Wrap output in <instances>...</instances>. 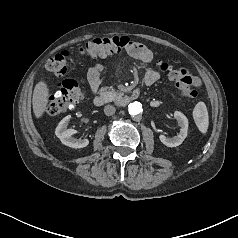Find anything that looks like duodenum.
Masks as SVG:
<instances>
[{
	"mask_svg": "<svg viewBox=\"0 0 238 238\" xmlns=\"http://www.w3.org/2000/svg\"><path fill=\"white\" fill-rule=\"evenodd\" d=\"M137 97H138V93L133 92L131 94H128V95L122 97L119 100V104L121 106H125V105L129 104L131 101L137 99ZM93 102L96 106H102L106 102V98H105L104 95L99 94V95L94 97Z\"/></svg>",
	"mask_w": 238,
	"mask_h": 238,
	"instance_id": "1",
	"label": "duodenum"
}]
</instances>
